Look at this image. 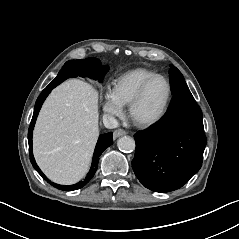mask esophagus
Returning <instances> with one entry per match:
<instances>
[{
  "label": "esophagus",
  "instance_id": "34e87169",
  "mask_svg": "<svg viewBox=\"0 0 239 239\" xmlns=\"http://www.w3.org/2000/svg\"><path fill=\"white\" fill-rule=\"evenodd\" d=\"M123 135H126V131L123 130V129H116L114 132H113V139H116L120 136H123Z\"/></svg>",
  "mask_w": 239,
  "mask_h": 239
}]
</instances>
